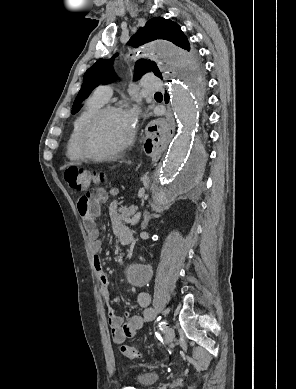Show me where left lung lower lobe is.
<instances>
[{
  "label": "left lung lower lobe",
  "mask_w": 296,
  "mask_h": 389,
  "mask_svg": "<svg viewBox=\"0 0 296 389\" xmlns=\"http://www.w3.org/2000/svg\"><path fill=\"white\" fill-rule=\"evenodd\" d=\"M168 95L166 94V102H167Z\"/></svg>",
  "instance_id": "1"
}]
</instances>
